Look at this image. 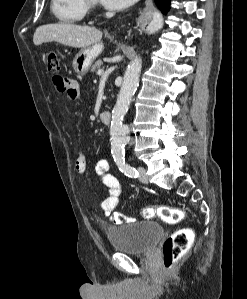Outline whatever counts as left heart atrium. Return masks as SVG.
Returning a JSON list of instances; mask_svg holds the SVG:
<instances>
[{
    "instance_id": "obj_1",
    "label": "left heart atrium",
    "mask_w": 247,
    "mask_h": 299,
    "mask_svg": "<svg viewBox=\"0 0 247 299\" xmlns=\"http://www.w3.org/2000/svg\"><path fill=\"white\" fill-rule=\"evenodd\" d=\"M135 0H100V2L111 9H122Z\"/></svg>"
}]
</instances>
